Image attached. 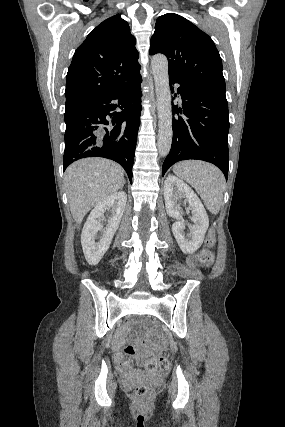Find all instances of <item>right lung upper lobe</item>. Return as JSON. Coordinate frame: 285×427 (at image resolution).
Listing matches in <instances>:
<instances>
[{"label": "right lung upper lobe", "instance_id": "1", "mask_svg": "<svg viewBox=\"0 0 285 427\" xmlns=\"http://www.w3.org/2000/svg\"><path fill=\"white\" fill-rule=\"evenodd\" d=\"M135 44L120 15L98 25L74 53L66 78L65 106L116 91L139 77Z\"/></svg>", "mask_w": 285, "mask_h": 427}]
</instances>
